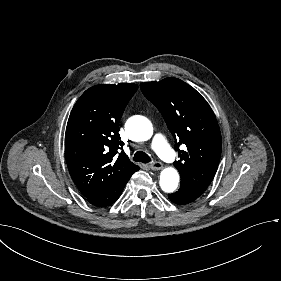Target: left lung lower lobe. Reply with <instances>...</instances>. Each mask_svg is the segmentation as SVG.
<instances>
[{"mask_svg": "<svg viewBox=\"0 0 281 281\" xmlns=\"http://www.w3.org/2000/svg\"><path fill=\"white\" fill-rule=\"evenodd\" d=\"M200 195L201 194L195 191L180 186V189L177 192L169 194L168 197L172 202L176 204H187L197 199Z\"/></svg>", "mask_w": 281, "mask_h": 281, "instance_id": "0a47b994", "label": "left lung lower lobe"}]
</instances>
